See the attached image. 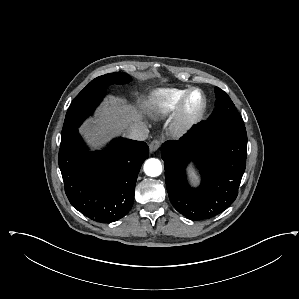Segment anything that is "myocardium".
Listing matches in <instances>:
<instances>
[{
    "mask_svg": "<svg viewBox=\"0 0 299 299\" xmlns=\"http://www.w3.org/2000/svg\"><path fill=\"white\" fill-rule=\"evenodd\" d=\"M193 93H197L200 96V104L195 110L190 111L188 109V100ZM206 108L207 99L202 90L198 88H190L186 90L175 108L172 117V129L176 133L187 131L201 121Z\"/></svg>",
    "mask_w": 299,
    "mask_h": 299,
    "instance_id": "1",
    "label": "myocardium"
}]
</instances>
